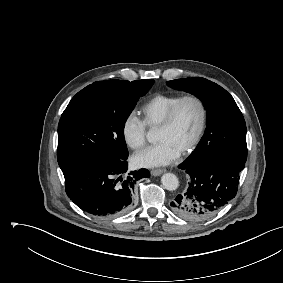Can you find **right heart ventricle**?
Returning a JSON list of instances; mask_svg holds the SVG:
<instances>
[{"mask_svg": "<svg viewBox=\"0 0 283 283\" xmlns=\"http://www.w3.org/2000/svg\"><path fill=\"white\" fill-rule=\"evenodd\" d=\"M180 97V95L157 94L150 98L140 109L144 124L150 128H158Z\"/></svg>", "mask_w": 283, "mask_h": 283, "instance_id": "right-heart-ventricle-1", "label": "right heart ventricle"}]
</instances>
